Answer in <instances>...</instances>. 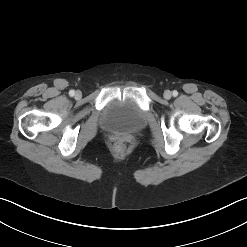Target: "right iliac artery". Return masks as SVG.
Returning <instances> with one entry per match:
<instances>
[{
    "instance_id": "82829eb1",
    "label": "right iliac artery",
    "mask_w": 247,
    "mask_h": 247,
    "mask_svg": "<svg viewBox=\"0 0 247 247\" xmlns=\"http://www.w3.org/2000/svg\"><path fill=\"white\" fill-rule=\"evenodd\" d=\"M74 94H75V91H74V90H70V91H69V95H70V96H74Z\"/></svg>"
}]
</instances>
